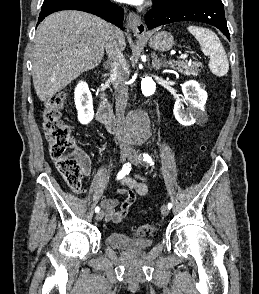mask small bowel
<instances>
[{
    "label": "small bowel",
    "mask_w": 259,
    "mask_h": 294,
    "mask_svg": "<svg viewBox=\"0 0 259 294\" xmlns=\"http://www.w3.org/2000/svg\"><path fill=\"white\" fill-rule=\"evenodd\" d=\"M79 158L84 174H89L91 170L89 157L85 153L80 152ZM120 183L125 187V189L121 191V199L104 198L101 201V206L105 210V219L114 223H121L124 221L128 216L130 207L136 201V197L146 196L149 191L148 186L144 182L138 181L132 177H125Z\"/></svg>",
    "instance_id": "1"
}]
</instances>
